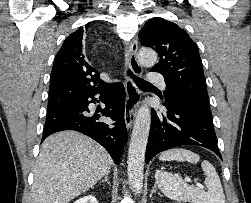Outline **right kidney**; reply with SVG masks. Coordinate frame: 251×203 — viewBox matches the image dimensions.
Listing matches in <instances>:
<instances>
[{
  "label": "right kidney",
  "instance_id": "ca27d5eb",
  "mask_svg": "<svg viewBox=\"0 0 251 203\" xmlns=\"http://www.w3.org/2000/svg\"><path fill=\"white\" fill-rule=\"evenodd\" d=\"M74 203H98V201L93 195H87L76 200Z\"/></svg>",
  "mask_w": 251,
  "mask_h": 203
}]
</instances>
